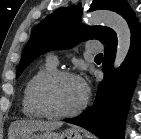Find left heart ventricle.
<instances>
[{
	"instance_id": "obj_1",
	"label": "left heart ventricle",
	"mask_w": 141,
	"mask_h": 139,
	"mask_svg": "<svg viewBox=\"0 0 141 139\" xmlns=\"http://www.w3.org/2000/svg\"><path fill=\"white\" fill-rule=\"evenodd\" d=\"M47 96L53 110L66 112L80 104L84 96V89L77 79L61 78L50 85Z\"/></svg>"
}]
</instances>
